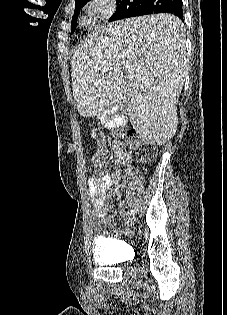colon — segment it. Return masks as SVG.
<instances>
[{
    "label": "colon",
    "instance_id": "obj_1",
    "mask_svg": "<svg viewBox=\"0 0 227 315\" xmlns=\"http://www.w3.org/2000/svg\"><path fill=\"white\" fill-rule=\"evenodd\" d=\"M90 138L100 143L102 141V134L96 129L90 130ZM127 148L136 156L140 161H152L157 155L156 146L146 140L145 138L130 131L125 135ZM106 164V157L102 150H98L92 159V168L94 170L102 169Z\"/></svg>",
    "mask_w": 227,
    "mask_h": 315
}]
</instances>
